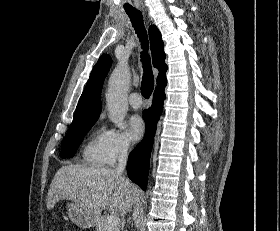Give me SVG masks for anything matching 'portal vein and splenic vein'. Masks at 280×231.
<instances>
[{
    "mask_svg": "<svg viewBox=\"0 0 280 231\" xmlns=\"http://www.w3.org/2000/svg\"><path fill=\"white\" fill-rule=\"evenodd\" d=\"M119 221H120V217H118L116 213H112V215H109L108 217V223H110V225H117Z\"/></svg>",
    "mask_w": 280,
    "mask_h": 231,
    "instance_id": "obj_1",
    "label": "portal vein and splenic vein"
}]
</instances>
